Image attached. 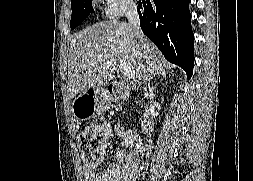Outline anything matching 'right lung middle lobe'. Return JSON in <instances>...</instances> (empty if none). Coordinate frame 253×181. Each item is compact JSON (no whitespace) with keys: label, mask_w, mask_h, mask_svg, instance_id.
<instances>
[{"label":"right lung middle lobe","mask_w":253,"mask_h":181,"mask_svg":"<svg viewBox=\"0 0 253 181\" xmlns=\"http://www.w3.org/2000/svg\"><path fill=\"white\" fill-rule=\"evenodd\" d=\"M71 8V29L78 26L91 12H94L91 0H71Z\"/></svg>","instance_id":"right-lung-middle-lobe-1"}]
</instances>
